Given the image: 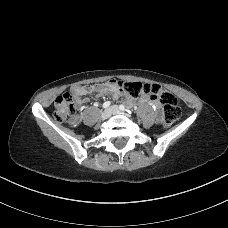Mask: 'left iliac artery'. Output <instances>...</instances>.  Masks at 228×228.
Segmentation results:
<instances>
[{
	"label": "left iliac artery",
	"mask_w": 228,
	"mask_h": 228,
	"mask_svg": "<svg viewBox=\"0 0 228 228\" xmlns=\"http://www.w3.org/2000/svg\"><path fill=\"white\" fill-rule=\"evenodd\" d=\"M120 109L124 112L131 113L129 110H127L123 105H120Z\"/></svg>",
	"instance_id": "obj_1"
}]
</instances>
